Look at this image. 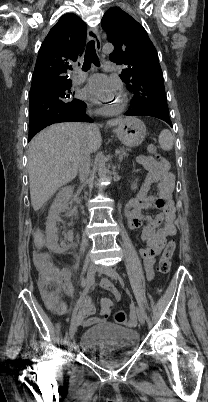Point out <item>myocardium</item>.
<instances>
[{"label":"myocardium","instance_id":"1","mask_svg":"<svg viewBox=\"0 0 208 402\" xmlns=\"http://www.w3.org/2000/svg\"><path fill=\"white\" fill-rule=\"evenodd\" d=\"M126 97L125 95L121 92L120 97L117 99V102L120 103L121 106H123L126 103Z\"/></svg>","mask_w":208,"mask_h":402}]
</instances>
